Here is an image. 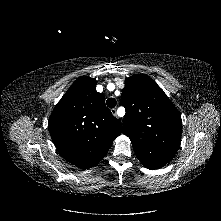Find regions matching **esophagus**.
<instances>
[{
  "mask_svg": "<svg viewBox=\"0 0 221 221\" xmlns=\"http://www.w3.org/2000/svg\"><path fill=\"white\" fill-rule=\"evenodd\" d=\"M111 113H112L114 116H117V110H116V108H112V109H111Z\"/></svg>",
  "mask_w": 221,
  "mask_h": 221,
  "instance_id": "esophagus-1",
  "label": "esophagus"
}]
</instances>
